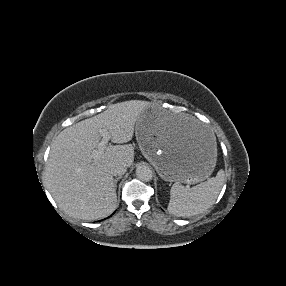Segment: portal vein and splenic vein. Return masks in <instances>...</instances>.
Segmentation results:
<instances>
[{
	"instance_id": "obj_1",
	"label": "portal vein and splenic vein",
	"mask_w": 286,
	"mask_h": 286,
	"mask_svg": "<svg viewBox=\"0 0 286 286\" xmlns=\"http://www.w3.org/2000/svg\"><path fill=\"white\" fill-rule=\"evenodd\" d=\"M99 132L100 135L102 136V140L99 142L97 149L93 150L91 153V157L94 160H97L102 156L108 141L111 139V136L106 129H100Z\"/></svg>"
}]
</instances>
